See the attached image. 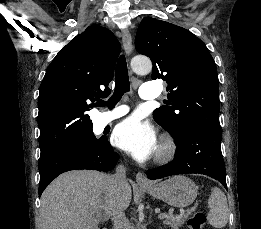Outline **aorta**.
<instances>
[{"label": "aorta", "mask_w": 261, "mask_h": 229, "mask_svg": "<svg viewBox=\"0 0 261 229\" xmlns=\"http://www.w3.org/2000/svg\"><path fill=\"white\" fill-rule=\"evenodd\" d=\"M130 64L136 74H148L152 70V62L148 56H133Z\"/></svg>", "instance_id": "obj_1"}]
</instances>
